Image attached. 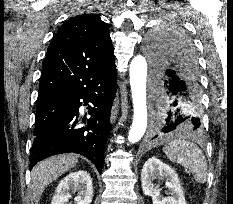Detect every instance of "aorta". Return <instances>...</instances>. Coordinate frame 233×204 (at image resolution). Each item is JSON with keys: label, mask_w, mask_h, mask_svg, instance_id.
I'll list each match as a JSON object with an SVG mask.
<instances>
[{"label": "aorta", "mask_w": 233, "mask_h": 204, "mask_svg": "<svg viewBox=\"0 0 233 204\" xmlns=\"http://www.w3.org/2000/svg\"><path fill=\"white\" fill-rule=\"evenodd\" d=\"M129 72L134 115L128 140L131 143H136L143 137L147 128V62L145 57L142 55L134 57L130 63Z\"/></svg>", "instance_id": "762f6f07"}]
</instances>
